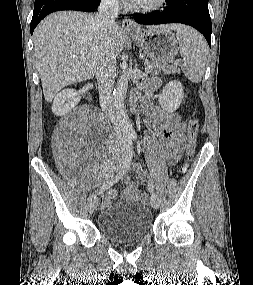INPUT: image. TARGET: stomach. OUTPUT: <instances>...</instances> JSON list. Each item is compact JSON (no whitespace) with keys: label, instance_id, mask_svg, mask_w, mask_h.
<instances>
[{"label":"stomach","instance_id":"stomach-1","mask_svg":"<svg viewBox=\"0 0 253 285\" xmlns=\"http://www.w3.org/2000/svg\"><path fill=\"white\" fill-rule=\"evenodd\" d=\"M143 53L152 61L166 63L178 54V44L170 29L157 26L153 29H139L130 34Z\"/></svg>","mask_w":253,"mask_h":285}]
</instances>
